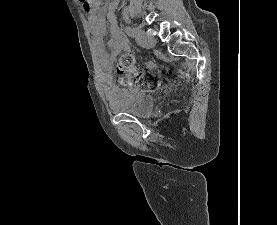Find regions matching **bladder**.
I'll return each mask as SVG.
<instances>
[{
  "mask_svg": "<svg viewBox=\"0 0 277 225\" xmlns=\"http://www.w3.org/2000/svg\"><path fill=\"white\" fill-rule=\"evenodd\" d=\"M153 106L154 100L149 93L136 89H125L121 91L119 98L114 101L112 111L143 118L151 113Z\"/></svg>",
  "mask_w": 277,
  "mask_h": 225,
  "instance_id": "31cf9c89",
  "label": "bladder"
}]
</instances>
